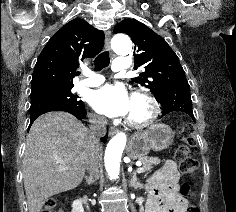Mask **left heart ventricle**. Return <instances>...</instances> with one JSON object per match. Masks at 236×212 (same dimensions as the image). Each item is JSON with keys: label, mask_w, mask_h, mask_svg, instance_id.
Wrapping results in <instances>:
<instances>
[{"label": "left heart ventricle", "mask_w": 236, "mask_h": 212, "mask_svg": "<svg viewBox=\"0 0 236 212\" xmlns=\"http://www.w3.org/2000/svg\"><path fill=\"white\" fill-rule=\"evenodd\" d=\"M145 110L146 107L142 102L132 99L129 116H132L134 118H141L145 114Z\"/></svg>", "instance_id": "obj_1"}]
</instances>
